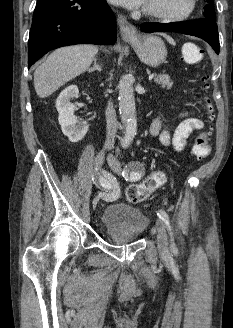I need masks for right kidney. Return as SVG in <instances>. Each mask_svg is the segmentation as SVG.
Returning a JSON list of instances; mask_svg holds the SVG:
<instances>
[{
    "label": "right kidney",
    "instance_id": "ca27d5eb",
    "mask_svg": "<svg viewBox=\"0 0 233 328\" xmlns=\"http://www.w3.org/2000/svg\"><path fill=\"white\" fill-rule=\"evenodd\" d=\"M79 90L76 85L66 87L56 100V109L59 113L58 121L62 132L71 142L80 141L88 131L86 121H81L74 116L75 106L70 102L77 98Z\"/></svg>",
    "mask_w": 233,
    "mask_h": 328
}]
</instances>
